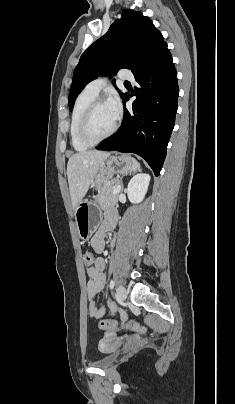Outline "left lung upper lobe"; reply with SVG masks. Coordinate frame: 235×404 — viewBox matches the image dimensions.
<instances>
[{"label":"left lung upper lobe","instance_id":"1","mask_svg":"<svg viewBox=\"0 0 235 404\" xmlns=\"http://www.w3.org/2000/svg\"><path fill=\"white\" fill-rule=\"evenodd\" d=\"M164 45L161 32L148 17L124 10L108 32L82 54L73 74L69 109L72 110L78 94L90 81L102 75H115L121 68L134 73ZM120 94L123 99L128 95Z\"/></svg>","mask_w":235,"mask_h":404}]
</instances>
